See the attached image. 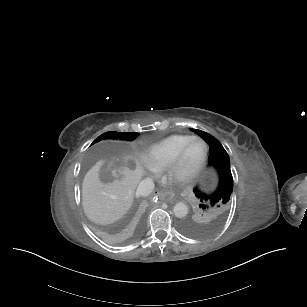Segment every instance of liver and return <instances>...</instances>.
Listing matches in <instances>:
<instances>
[{"instance_id":"obj_1","label":"liver","mask_w":307,"mask_h":307,"mask_svg":"<svg viewBox=\"0 0 307 307\" xmlns=\"http://www.w3.org/2000/svg\"><path fill=\"white\" fill-rule=\"evenodd\" d=\"M143 170L128 156L117 159L104 157L86 174L83 186V206L89 219L110 224L120 219L133 201Z\"/></svg>"}]
</instances>
